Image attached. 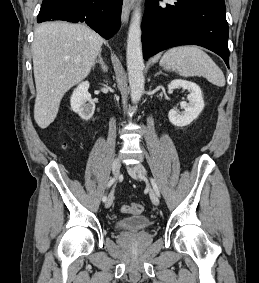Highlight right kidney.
<instances>
[{
	"instance_id": "1",
	"label": "right kidney",
	"mask_w": 259,
	"mask_h": 283,
	"mask_svg": "<svg viewBox=\"0 0 259 283\" xmlns=\"http://www.w3.org/2000/svg\"><path fill=\"white\" fill-rule=\"evenodd\" d=\"M88 89L89 82H82L74 90L70 98L71 109L83 120H89L95 111V104Z\"/></svg>"
}]
</instances>
